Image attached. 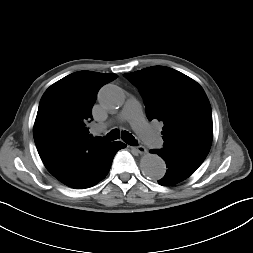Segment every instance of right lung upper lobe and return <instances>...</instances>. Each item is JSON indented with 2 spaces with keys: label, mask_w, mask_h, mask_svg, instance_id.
<instances>
[{
  "label": "right lung upper lobe",
  "mask_w": 253,
  "mask_h": 253,
  "mask_svg": "<svg viewBox=\"0 0 253 253\" xmlns=\"http://www.w3.org/2000/svg\"><path fill=\"white\" fill-rule=\"evenodd\" d=\"M117 77L75 72L51 85L40 100L34 141L48 171L69 187L82 188L99 174L100 154L107 143L100 137L90 140L86 123L99 89Z\"/></svg>",
  "instance_id": "right-lung-upper-lobe-1"
}]
</instances>
